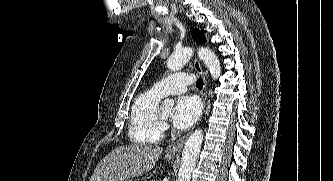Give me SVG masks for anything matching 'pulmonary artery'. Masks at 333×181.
<instances>
[{
    "instance_id": "obj_1",
    "label": "pulmonary artery",
    "mask_w": 333,
    "mask_h": 181,
    "mask_svg": "<svg viewBox=\"0 0 333 181\" xmlns=\"http://www.w3.org/2000/svg\"><path fill=\"white\" fill-rule=\"evenodd\" d=\"M194 80L191 74H175L157 82L151 89L155 94L164 97L169 94H181Z\"/></svg>"
}]
</instances>
